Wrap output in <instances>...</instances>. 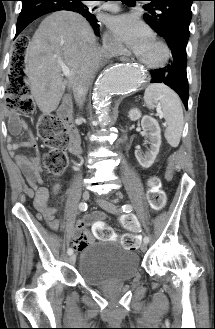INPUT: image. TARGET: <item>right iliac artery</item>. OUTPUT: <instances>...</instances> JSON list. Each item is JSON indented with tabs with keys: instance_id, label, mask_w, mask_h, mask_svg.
Listing matches in <instances>:
<instances>
[{
	"instance_id": "1",
	"label": "right iliac artery",
	"mask_w": 215,
	"mask_h": 329,
	"mask_svg": "<svg viewBox=\"0 0 215 329\" xmlns=\"http://www.w3.org/2000/svg\"><path fill=\"white\" fill-rule=\"evenodd\" d=\"M79 209H80L81 211H86V210H87V204H86L85 202H81V203L79 204ZM67 253H68L69 255H71V254L73 253V249H72V248H69V249L67 250Z\"/></svg>"
}]
</instances>
